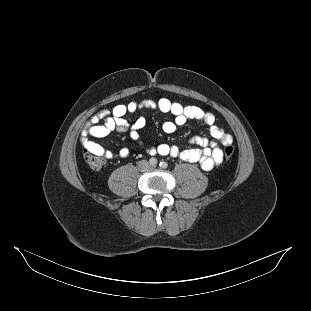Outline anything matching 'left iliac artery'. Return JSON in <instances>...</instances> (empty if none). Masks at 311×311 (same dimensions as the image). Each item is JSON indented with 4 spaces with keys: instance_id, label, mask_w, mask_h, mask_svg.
Masks as SVG:
<instances>
[{
    "instance_id": "1",
    "label": "left iliac artery",
    "mask_w": 311,
    "mask_h": 311,
    "mask_svg": "<svg viewBox=\"0 0 311 311\" xmlns=\"http://www.w3.org/2000/svg\"><path fill=\"white\" fill-rule=\"evenodd\" d=\"M159 166H160L161 168L165 169V168L168 167V164H167V162H165V161H161V162L159 163Z\"/></svg>"
}]
</instances>
